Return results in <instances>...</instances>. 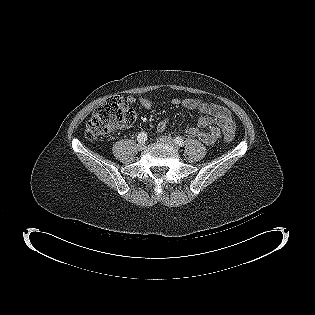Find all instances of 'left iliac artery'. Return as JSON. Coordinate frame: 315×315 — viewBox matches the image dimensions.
<instances>
[{"instance_id":"1","label":"left iliac artery","mask_w":315,"mask_h":315,"mask_svg":"<svg viewBox=\"0 0 315 315\" xmlns=\"http://www.w3.org/2000/svg\"><path fill=\"white\" fill-rule=\"evenodd\" d=\"M174 141H175L176 144H178L181 147L184 145L183 139L181 137H179V136L175 137Z\"/></svg>"}]
</instances>
